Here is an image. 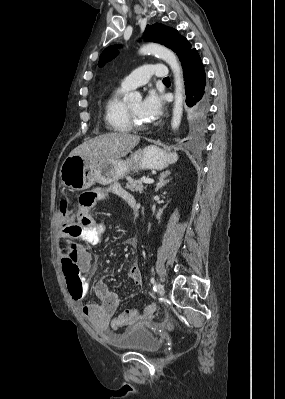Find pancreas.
<instances>
[{
    "mask_svg": "<svg viewBox=\"0 0 285 399\" xmlns=\"http://www.w3.org/2000/svg\"><path fill=\"white\" fill-rule=\"evenodd\" d=\"M127 181L125 188L133 192L143 193L144 189H146V186L144 187L140 181L133 180L130 177H127Z\"/></svg>",
    "mask_w": 285,
    "mask_h": 399,
    "instance_id": "cf45deb5",
    "label": "pancreas"
}]
</instances>
